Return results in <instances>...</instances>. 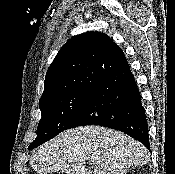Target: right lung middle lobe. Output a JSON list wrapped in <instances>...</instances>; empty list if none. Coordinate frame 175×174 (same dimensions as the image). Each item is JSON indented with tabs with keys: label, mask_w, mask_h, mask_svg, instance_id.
<instances>
[{
	"label": "right lung middle lobe",
	"mask_w": 175,
	"mask_h": 174,
	"mask_svg": "<svg viewBox=\"0 0 175 174\" xmlns=\"http://www.w3.org/2000/svg\"><path fill=\"white\" fill-rule=\"evenodd\" d=\"M93 87L67 91L41 100L42 118L37 129V138L28 149H33L66 130L79 112Z\"/></svg>",
	"instance_id": "1"
}]
</instances>
